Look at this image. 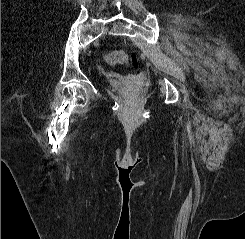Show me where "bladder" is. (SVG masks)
<instances>
[{
	"mask_svg": "<svg viewBox=\"0 0 245 239\" xmlns=\"http://www.w3.org/2000/svg\"><path fill=\"white\" fill-rule=\"evenodd\" d=\"M111 85L113 88L126 93L132 87H135L137 84L131 82L128 78H123V79H119V80H115V81L111 82Z\"/></svg>",
	"mask_w": 245,
	"mask_h": 239,
	"instance_id": "31cf9c89",
	"label": "bladder"
}]
</instances>
